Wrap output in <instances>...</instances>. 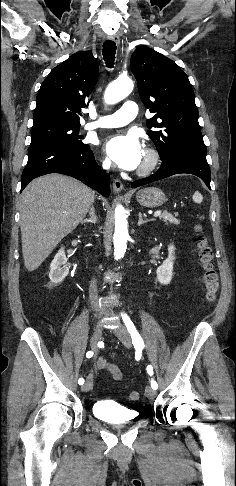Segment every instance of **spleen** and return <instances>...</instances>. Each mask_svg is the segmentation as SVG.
<instances>
[{"mask_svg":"<svg viewBox=\"0 0 236 486\" xmlns=\"http://www.w3.org/2000/svg\"><path fill=\"white\" fill-rule=\"evenodd\" d=\"M203 200L202 195L199 192H195L193 195V201L196 203H201Z\"/></svg>","mask_w":236,"mask_h":486,"instance_id":"1","label":"spleen"}]
</instances>
